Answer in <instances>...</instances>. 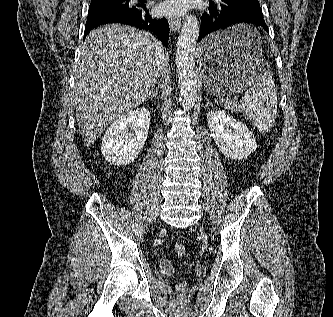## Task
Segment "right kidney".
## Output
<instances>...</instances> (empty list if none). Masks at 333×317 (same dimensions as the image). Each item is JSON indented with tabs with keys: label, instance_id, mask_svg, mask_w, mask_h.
Segmentation results:
<instances>
[{
	"label": "right kidney",
	"instance_id": "obj_1",
	"mask_svg": "<svg viewBox=\"0 0 333 317\" xmlns=\"http://www.w3.org/2000/svg\"><path fill=\"white\" fill-rule=\"evenodd\" d=\"M150 112L145 108L130 111L118 117L106 131L101 152L112 165L132 163L142 150L148 135ZM133 127L132 134H126Z\"/></svg>",
	"mask_w": 333,
	"mask_h": 317
}]
</instances>
